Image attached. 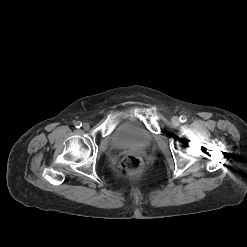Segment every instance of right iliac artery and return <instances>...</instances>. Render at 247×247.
<instances>
[{
    "mask_svg": "<svg viewBox=\"0 0 247 247\" xmlns=\"http://www.w3.org/2000/svg\"><path fill=\"white\" fill-rule=\"evenodd\" d=\"M74 125L76 128H80L82 126V123L80 121H76Z\"/></svg>",
    "mask_w": 247,
    "mask_h": 247,
    "instance_id": "obj_1",
    "label": "right iliac artery"
}]
</instances>
